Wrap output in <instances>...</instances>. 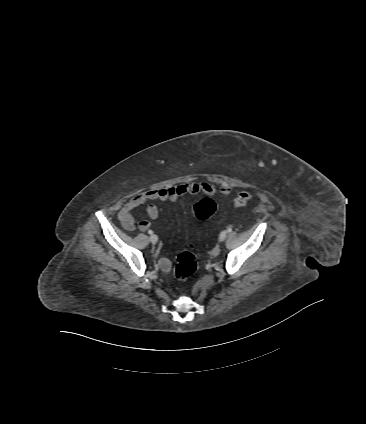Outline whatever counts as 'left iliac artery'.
I'll return each instance as SVG.
<instances>
[{
  "label": "left iliac artery",
  "mask_w": 366,
  "mask_h": 424,
  "mask_svg": "<svg viewBox=\"0 0 366 424\" xmlns=\"http://www.w3.org/2000/svg\"><path fill=\"white\" fill-rule=\"evenodd\" d=\"M227 231H228V232H231V231H232V228H231V227H229V228L227 229Z\"/></svg>",
  "instance_id": "44dca946"
}]
</instances>
